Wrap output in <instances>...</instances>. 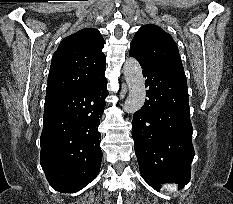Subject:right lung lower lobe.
<instances>
[{
    "label": "right lung lower lobe",
    "instance_id": "98d812e1",
    "mask_svg": "<svg viewBox=\"0 0 233 204\" xmlns=\"http://www.w3.org/2000/svg\"><path fill=\"white\" fill-rule=\"evenodd\" d=\"M103 70L86 86L45 100L40 164L49 184L77 192L100 171L98 125L108 95Z\"/></svg>",
    "mask_w": 233,
    "mask_h": 204
}]
</instances>
